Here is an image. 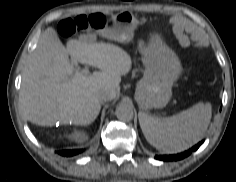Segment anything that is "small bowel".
<instances>
[{
    "label": "small bowel",
    "instance_id": "1",
    "mask_svg": "<svg viewBox=\"0 0 236 182\" xmlns=\"http://www.w3.org/2000/svg\"><path fill=\"white\" fill-rule=\"evenodd\" d=\"M173 24H174V31L179 42L182 45H187L188 40L187 37L184 35V27H185L184 22L180 18L174 17Z\"/></svg>",
    "mask_w": 236,
    "mask_h": 182
}]
</instances>
